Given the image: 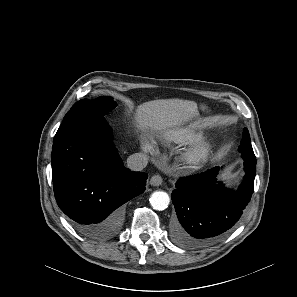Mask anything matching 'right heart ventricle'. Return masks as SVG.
Returning <instances> with one entry per match:
<instances>
[{"mask_svg": "<svg viewBox=\"0 0 297 297\" xmlns=\"http://www.w3.org/2000/svg\"><path fill=\"white\" fill-rule=\"evenodd\" d=\"M199 138V133L193 128H183L174 131L170 136V141L180 144L193 141Z\"/></svg>", "mask_w": 297, "mask_h": 297, "instance_id": "e07e8e85", "label": "right heart ventricle"}]
</instances>
